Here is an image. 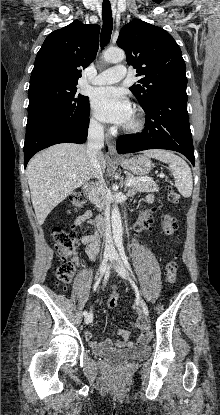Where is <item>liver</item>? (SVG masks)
Segmentation results:
<instances>
[{"label":"liver","instance_id":"1","mask_svg":"<svg viewBox=\"0 0 220 415\" xmlns=\"http://www.w3.org/2000/svg\"><path fill=\"white\" fill-rule=\"evenodd\" d=\"M98 160L104 172L106 159L102 152ZM26 176L40 225L59 203L94 177L87 146L72 143L56 144L38 153L28 163Z\"/></svg>","mask_w":220,"mask_h":415}]
</instances>
